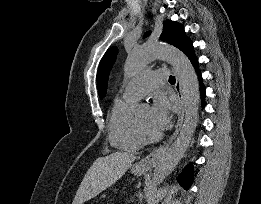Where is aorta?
<instances>
[{
	"label": "aorta",
	"mask_w": 261,
	"mask_h": 204,
	"mask_svg": "<svg viewBox=\"0 0 261 204\" xmlns=\"http://www.w3.org/2000/svg\"><path fill=\"white\" fill-rule=\"evenodd\" d=\"M161 58L170 63L182 87L185 118L180 133L154 169L153 184L159 185L175 169L192 140L199 108V83L194 67L179 49L157 43H146L131 50L125 62V73L133 76L150 61ZM142 106H139L140 110Z\"/></svg>",
	"instance_id": "762f6f07"
}]
</instances>
